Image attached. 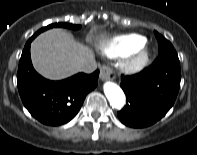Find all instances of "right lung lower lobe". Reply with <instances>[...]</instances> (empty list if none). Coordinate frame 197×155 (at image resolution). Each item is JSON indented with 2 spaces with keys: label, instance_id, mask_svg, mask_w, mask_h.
I'll return each instance as SVG.
<instances>
[{
  "label": "right lung lower lobe",
  "instance_id": "obj_1",
  "mask_svg": "<svg viewBox=\"0 0 197 155\" xmlns=\"http://www.w3.org/2000/svg\"><path fill=\"white\" fill-rule=\"evenodd\" d=\"M32 36L22 52L17 86L24 106L43 124L58 126L69 122L80 110L86 95L97 86L99 71L92 74L79 73L61 81H50L34 70L30 45Z\"/></svg>",
  "mask_w": 197,
  "mask_h": 155
}]
</instances>
